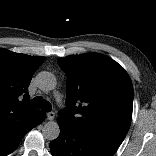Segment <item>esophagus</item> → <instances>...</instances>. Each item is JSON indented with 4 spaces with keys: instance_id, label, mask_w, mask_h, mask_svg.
I'll list each match as a JSON object with an SVG mask.
<instances>
[{
    "instance_id": "esophagus-1",
    "label": "esophagus",
    "mask_w": 156,
    "mask_h": 156,
    "mask_svg": "<svg viewBox=\"0 0 156 156\" xmlns=\"http://www.w3.org/2000/svg\"><path fill=\"white\" fill-rule=\"evenodd\" d=\"M55 118V113L54 112H48L47 113V119L48 120H53Z\"/></svg>"
}]
</instances>
